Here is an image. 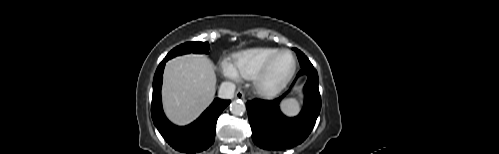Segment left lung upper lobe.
I'll use <instances>...</instances> for the list:
<instances>
[{
	"label": "left lung upper lobe",
	"mask_w": 499,
	"mask_h": 154,
	"mask_svg": "<svg viewBox=\"0 0 499 154\" xmlns=\"http://www.w3.org/2000/svg\"><path fill=\"white\" fill-rule=\"evenodd\" d=\"M296 54L298 56V60L300 62V66L301 67H311V68H313V65L311 64V62L309 61V59L300 50H297Z\"/></svg>",
	"instance_id": "1"
}]
</instances>
